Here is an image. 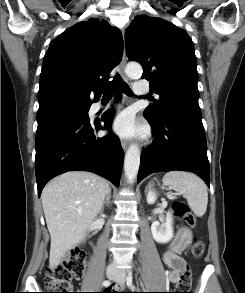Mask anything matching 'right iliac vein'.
Returning <instances> with one entry per match:
<instances>
[{
    "label": "right iliac vein",
    "mask_w": 245,
    "mask_h": 293,
    "mask_svg": "<svg viewBox=\"0 0 245 293\" xmlns=\"http://www.w3.org/2000/svg\"><path fill=\"white\" fill-rule=\"evenodd\" d=\"M106 275L109 279H113L117 276V272H115L114 270L112 269H107L106 271Z\"/></svg>",
    "instance_id": "obj_1"
}]
</instances>
